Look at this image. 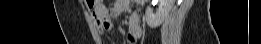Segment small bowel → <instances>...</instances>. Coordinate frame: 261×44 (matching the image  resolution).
I'll return each mask as SVG.
<instances>
[{
	"label": "small bowel",
	"instance_id": "1",
	"mask_svg": "<svg viewBox=\"0 0 261 44\" xmlns=\"http://www.w3.org/2000/svg\"><path fill=\"white\" fill-rule=\"evenodd\" d=\"M127 0H117L110 7L104 4H98L94 7L93 17L97 23L99 33L105 34L112 30V22L107 17L108 15L112 19H116L120 13L129 5ZM143 34L142 26L140 25V18L138 10L135 9L128 21V31H127V42L135 43Z\"/></svg>",
	"mask_w": 261,
	"mask_h": 44
}]
</instances>
